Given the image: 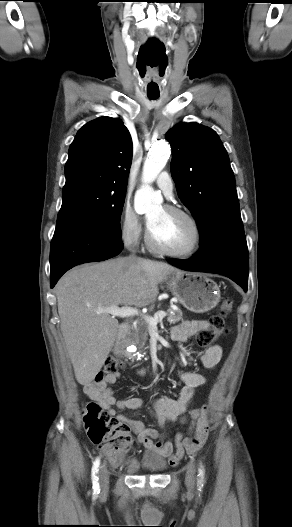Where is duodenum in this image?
<instances>
[{
	"mask_svg": "<svg viewBox=\"0 0 292 527\" xmlns=\"http://www.w3.org/2000/svg\"><path fill=\"white\" fill-rule=\"evenodd\" d=\"M128 330H129V325L127 323L121 324L118 334H117L118 340H122L126 336Z\"/></svg>",
	"mask_w": 292,
	"mask_h": 527,
	"instance_id": "410a0bca",
	"label": "duodenum"
}]
</instances>
